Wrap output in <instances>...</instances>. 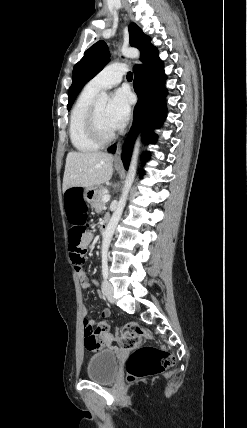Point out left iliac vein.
I'll list each match as a JSON object with an SVG mask.
<instances>
[{"label": "left iliac vein", "mask_w": 247, "mask_h": 428, "mask_svg": "<svg viewBox=\"0 0 247 428\" xmlns=\"http://www.w3.org/2000/svg\"><path fill=\"white\" fill-rule=\"evenodd\" d=\"M103 292H104V295L107 298V300L109 302L113 303L114 302V298H113L114 289H113V286L111 285V283L108 282L107 280H104V282H103Z\"/></svg>", "instance_id": "1"}]
</instances>
